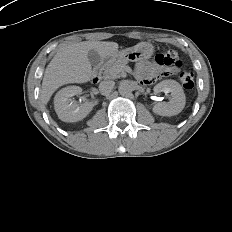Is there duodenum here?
Instances as JSON below:
<instances>
[{"mask_svg":"<svg viewBox=\"0 0 232 232\" xmlns=\"http://www.w3.org/2000/svg\"><path fill=\"white\" fill-rule=\"evenodd\" d=\"M99 79H100L99 69H98V67H95L94 70H93L91 81L96 83V82L99 81Z\"/></svg>","mask_w":232,"mask_h":232,"instance_id":"410a0bca","label":"duodenum"}]
</instances>
